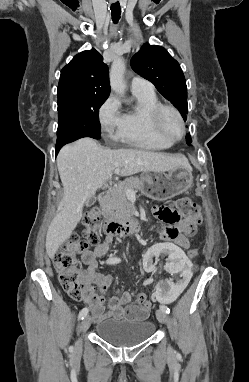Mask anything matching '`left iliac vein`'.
<instances>
[{"instance_id":"left-iliac-vein-1","label":"left iliac vein","mask_w":249,"mask_h":382,"mask_svg":"<svg viewBox=\"0 0 249 382\" xmlns=\"http://www.w3.org/2000/svg\"><path fill=\"white\" fill-rule=\"evenodd\" d=\"M156 317L161 323H167L168 321V315L166 312L162 311L161 309L156 311Z\"/></svg>"}]
</instances>
